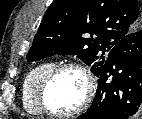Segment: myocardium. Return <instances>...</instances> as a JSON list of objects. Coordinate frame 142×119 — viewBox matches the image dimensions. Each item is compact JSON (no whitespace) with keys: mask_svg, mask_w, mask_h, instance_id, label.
Instances as JSON below:
<instances>
[{"mask_svg":"<svg viewBox=\"0 0 142 119\" xmlns=\"http://www.w3.org/2000/svg\"><path fill=\"white\" fill-rule=\"evenodd\" d=\"M67 69L77 70L81 74L85 82V90L81 103L75 109H72L67 112H57L48 106L46 100V93L56 75L61 71ZM95 91L96 82L94 76L86 65L73 61L63 62L55 65L43 78L38 90V103L42 111H44L48 115L54 117H73L82 113L90 106L94 98Z\"/></svg>","mask_w":142,"mask_h":119,"instance_id":"obj_1","label":"myocardium"}]
</instances>
